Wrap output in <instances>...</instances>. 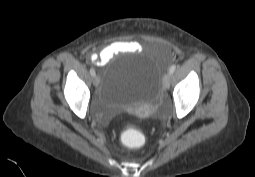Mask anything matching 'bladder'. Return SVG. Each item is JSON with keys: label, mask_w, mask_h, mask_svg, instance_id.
Segmentation results:
<instances>
[{"label": "bladder", "mask_w": 255, "mask_h": 177, "mask_svg": "<svg viewBox=\"0 0 255 177\" xmlns=\"http://www.w3.org/2000/svg\"><path fill=\"white\" fill-rule=\"evenodd\" d=\"M162 75L150 56L130 55L105 76L99 97L112 108L143 109L160 103Z\"/></svg>", "instance_id": "31cf9c89"}]
</instances>
